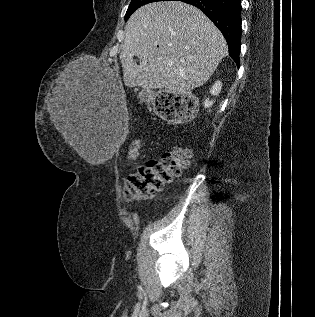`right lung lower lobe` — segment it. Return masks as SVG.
<instances>
[{
    "label": "right lung lower lobe",
    "mask_w": 315,
    "mask_h": 317,
    "mask_svg": "<svg viewBox=\"0 0 315 317\" xmlns=\"http://www.w3.org/2000/svg\"><path fill=\"white\" fill-rule=\"evenodd\" d=\"M191 4L204 12L225 37L229 55L240 66L241 0H177Z\"/></svg>",
    "instance_id": "obj_1"
}]
</instances>
